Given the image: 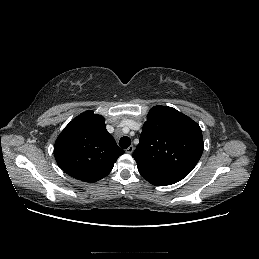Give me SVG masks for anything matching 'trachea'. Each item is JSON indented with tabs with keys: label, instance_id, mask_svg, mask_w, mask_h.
<instances>
[{
	"label": "trachea",
	"instance_id": "3493384b",
	"mask_svg": "<svg viewBox=\"0 0 259 259\" xmlns=\"http://www.w3.org/2000/svg\"><path fill=\"white\" fill-rule=\"evenodd\" d=\"M131 144V139L129 137H122L119 141V146L123 149H126L130 146Z\"/></svg>",
	"mask_w": 259,
	"mask_h": 259
}]
</instances>
